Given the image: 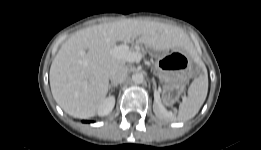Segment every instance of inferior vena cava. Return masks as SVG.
<instances>
[{"instance_id":"1","label":"inferior vena cava","mask_w":261,"mask_h":150,"mask_svg":"<svg viewBox=\"0 0 261 150\" xmlns=\"http://www.w3.org/2000/svg\"><path fill=\"white\" fill-rule=\"evenodd\" d=\"M128 76V70L125 65H117L112 67L109 72V78L112 83L119 84L126 80Z\"/></svg>"}]
</instances>
